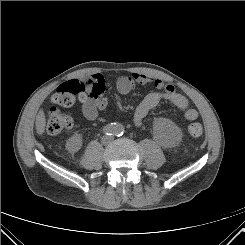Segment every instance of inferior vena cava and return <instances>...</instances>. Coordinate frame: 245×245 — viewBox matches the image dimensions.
Instances as JSON below:
<instances>
[{"instance_id":"1","label":"inferior vena cava","mask_w":245,"mask_h":245,"mask_svg":"<svg viewBox=\"0 0 245 245\" xmlns=\"http://www.w3.org/2000/svg\"><path fill=\"white\" fill-rule=\"evenodd\" d=\"M113 139V136H103L102 137V143L103 144H107L108 142H110Z\"/></svg>"}]
</instances>
